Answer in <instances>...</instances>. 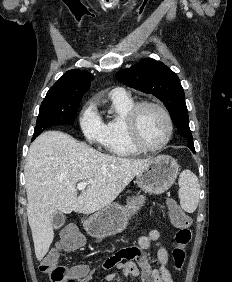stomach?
Listing matches in <instances>:
<instances>
[{
  "label": "stomach",
  "mask_w": 232,
  "mask_h": 282,
  "mask_svg": "<svg viewBox=\"0 0 232 282\" xmlns=\"http://www.w3.org/2000/svg\"><path fill=\"white\" fill-rule=\"evenodd\" d=\"M179 174L177 161L168 155H159L137 173L136 183L145 193L160 195L166 192ZM143 196L128 199L123 207L112 203L97 212L84 223L86 232L97 239H103L121 233L127 226L130 215L136 213L144 203Z\"/></svg>",
  "instance_id": "obj_1"
}]
</instances>
